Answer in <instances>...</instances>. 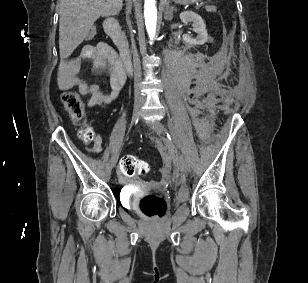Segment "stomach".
<instances>
[{
	"label": "stomach",
	"instance_id": "0dacf381",
	"mask_svg": "<svg viewBox=\"0 0 308 283\" xmlns=\"http://www.w3.org/2000/svg\"><path fill=\"white\" fill-rule=\"evenodd\" d=\"M178 4H192L201 0H174Z\"/></svg>",
	"mask_w": 308,
	"mask_h": 283
}]
</instances>
